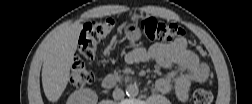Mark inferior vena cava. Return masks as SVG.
Returning a JSON list of instances; mask_svg holds the SVG:
<instances>
[{
	"instance_id": "obj_1",
	"label": "inferior vena cava",
	"mask_w": 252,
	"mask_h": 104,
	"mask_svg": "<svg viewBox=\"0 0 252 104\" xmlns=\"http://www.w3.org/2000/svg\"><path fill=\"white\" fill-rule=\"evenodd\" d=\"M113 99L114 100H117V101H120V100H123L124 97H125V94H124V91L120 88H116L114 91H113Z\"/></svg>"
}]
</instances>
